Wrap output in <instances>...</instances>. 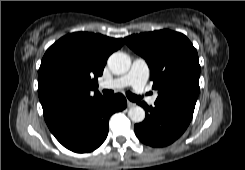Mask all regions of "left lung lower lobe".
<instances>
[{"label": "left lung lower lobe", "instance_id": "0a47b994", "mask_svg": "<svg viewBox=\"0 0 245 170\" xmlns=\"http://www.w3.org/2000/svg\"><path fill=\"white\" fill-rule=\"evenodd\" d=\"M146 112L145 120L135 125V134L140 141L153 147H164L178 139L188 127L193 110L155 102L147 106L140 102Z\"/></svg>", "mask_w": 245, "mask_h": 170}]
</instances>
